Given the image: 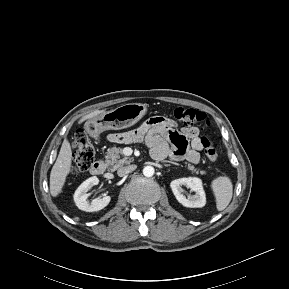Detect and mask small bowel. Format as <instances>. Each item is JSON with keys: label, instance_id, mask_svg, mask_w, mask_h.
Segmentation results:
<instances>
[{"label": "small bowel", "instance_id": "obj_1", "mask_svg": "<svg viewBox=\"0 0 289 289\" xmlns=\"http://www.w3.org/2000/svg\"><path fill=\"white\" fill-rule=\"evenodd\" d=\"M109 139L116 143L145 141L155 160L170 156L174 160L185 159L196 164L203 150L196 127L178 129L171 120L162 117L151 118L130 132L112 134Z\"/></svg>", "mask_w": 289, "mask_h": 289}]
</instances>
